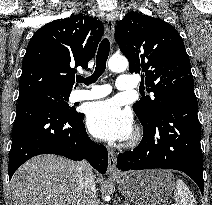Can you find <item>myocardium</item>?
<instances>
[{
  "label": "myocardium",
  "instance_id": "1",
  "mask_svg": "<svg viewBox=\"0 0 212 205\" xmlns=\"http://www.w3.org/2000/svg\"><path fill=\"white\" fill-rule=\"evenodd\" d=\"M140 139H141V133L139 130H136L128 139L125 145L128 147L135 146L140 141Z\"/></svg>",
  "mask_w": 212,
  "mask_h": 205
}]
</instances>
